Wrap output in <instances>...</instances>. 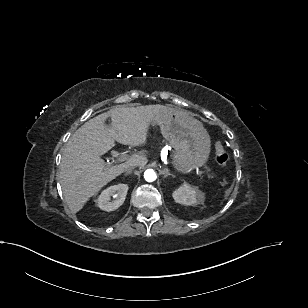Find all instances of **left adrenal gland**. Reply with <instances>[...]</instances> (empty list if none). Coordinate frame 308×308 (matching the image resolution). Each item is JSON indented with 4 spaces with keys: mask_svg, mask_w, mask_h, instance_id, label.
Masks as SVG:
<instances>
[{
    "mask_svg": "<svg viewBox=\"0 0 308 308\" xmlns=\"http://www.w3.org/2000/svg\"><path fill=\"white\" fill-rule=\"evenodd\" d=\"M161 173L164 175V177H167V176H172V177H175L174 174L170 173L169 170L167 168L163 169L161 171Z\"/></svg>",
    "mask_w": 308,
    "mask_h": 308,
    "instance_id": "1",
    "label": "left adrenal gland"
}]
</instances>
